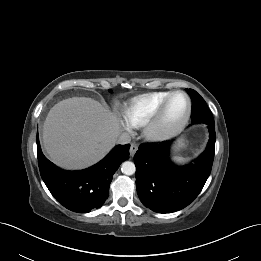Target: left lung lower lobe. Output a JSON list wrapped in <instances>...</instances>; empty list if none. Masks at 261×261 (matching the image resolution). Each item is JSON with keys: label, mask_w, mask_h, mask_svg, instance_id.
Returning <instances> with one entry per match:
<instances>
[{"label": "left lung lower lobe", "mask_w": 261, "mask_h": 261, "mask_svg": "<svg viewBox=\"0 0 261 261\" xmlns=\"http://www.w3.org/2000/svg\"><path fill=\"white\" fill-rule=\"evenodd\" d=\"M210 140L194 163L178 167L168 156L172 141L139 146L134 156L136 187L144 206L158 213L183 209L198 196L212 168L215 149V123L207 122Z\"/></svg>", "instance_id": "obj_1"}]
</instances>
